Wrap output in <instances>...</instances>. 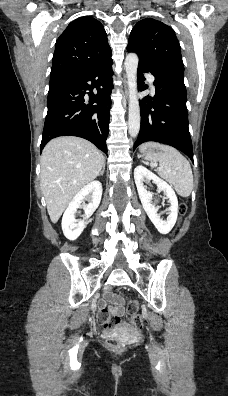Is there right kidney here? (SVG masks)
<instances>
[{
    "label": "right kidney",
    "instance_id": "obj_1",
    "mask_svg": "<svg viewBox=\"0 0 228 396\" xmlns=\"http://www.w3.org/2000/svg\"><path fill=\"white\" fill-rule=\"evenodd\" d=\"M102 197V184L99 181H92L84 186L69 203L62 218V230L66 238L76 240L83 232L85 219L89 218L98 208ZM85 200L89 203L85 204ZM82 206L85 212L83 220H77L75 213Z\"/></svg>",
    "mask_w": 228,
    "mask_h": 396
}]
</instances>
